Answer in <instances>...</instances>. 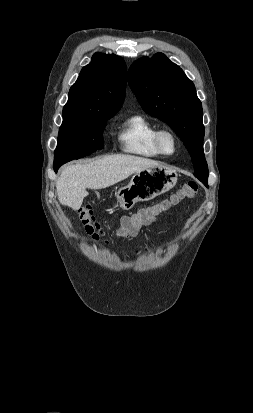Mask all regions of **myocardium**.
Returning a JSON list of instances; mask_svg holds the SVG:
<instances>
[{"instance_id": "obj_1", "label": "myocardium", "mask_w": 253, "mask_h": 413, "mask_svg": "<svg viewBox=\"0 0 253 413\" xmlns=\"http://www.w3.org/2000/svg\"><path fill=\"white\" fill-rule=\"evenodd\" d=\"M166 135L171 137L173 141V150L171 152H166L163 147V137ZM154 143L160 154L164 156H171L176 153L179 141L177 135L173 130L169 128H159L154 135Z\"/></svg>"}]
</instances>
